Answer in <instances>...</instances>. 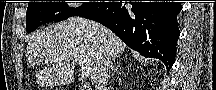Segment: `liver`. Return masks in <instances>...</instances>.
I'll use <instances>...</instances> for the list:
<instances>
[{"instance_id": "liver-1", "label": "liver", "mask_w": 216, "mask_h": 90, "mask_svg": "<svg viewBox=\"0 0 216 90\" xmlns=\"http://www.w3.org/2000/svg\"><path fill=\"white\" fill-rule=\"evenodd\" d=\"M126 44L111 30L84 18H69L35 32L27 46V60L38 68L37 84L67 86L75 80L76 62H82L81 72L89 74L95 84V72L103 58H119ZM42 64H46L40 70ZM91 90V86H88Z\"/></svg>"}]
</instances>
